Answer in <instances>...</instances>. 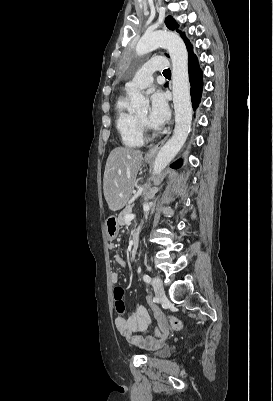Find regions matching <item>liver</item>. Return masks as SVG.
<instances>
[{
  "mask_svg": "<svg viewBox=\"0 0 273 401\" xmlns=\"http://www.w3.org/2000/svg\"><path fill=\"white\" fill-rule=\"evenodd\" d=\"M142 154L141 150L125 146L111 150L103 178L104 196L110 211H120L127 205L142 164Z\"/></svg>",
  "mask_w": 273,
  "mask_h": 401,
  "instance_id": "liver-1",
  "label": "liver"
}]
</instances>
